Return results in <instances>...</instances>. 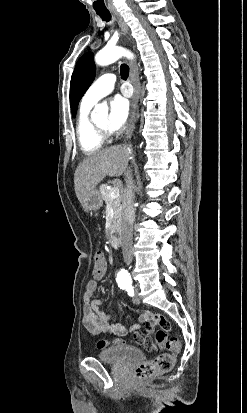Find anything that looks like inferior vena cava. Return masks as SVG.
<instances>
[{"label":"inferior vena cava","mask_w":247,"mask_h":413,"mask_svg":"<svg viewBox=\"0 0 247 413\" xmlns=\"http://www.w3.org/2000/svg\"><path fill=\"white\" fill-rule=\"evenodd\" d=\"M125 188H123L122 194V251L126 265H130L132 257V235H133V223L135 219L134 209V180L132 176V168L127 166L124 172Z\"/></svg>","instance_id":"1"}]
</instances>
